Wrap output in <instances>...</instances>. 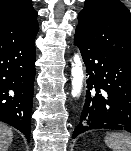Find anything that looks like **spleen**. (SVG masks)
Returning a JSON list of instances; mask_svg holds the SVG:
<instances>
[{
	"label": "spleen",
	"instance_id": "spleen-1",
	"mask_svg": "<svg viewBox=\"0 0 131 151\" xmlns=\"http://www.w3.org/2000/svg\"><path fill=\"white\" fill-rule=\"evenodd\" d=\"M106 145L112 151H131V136L122 133H110L105 137Z\"/></svg>",
	"mask_w": 131,
	"mask_h": 151
}]
</instances>
